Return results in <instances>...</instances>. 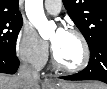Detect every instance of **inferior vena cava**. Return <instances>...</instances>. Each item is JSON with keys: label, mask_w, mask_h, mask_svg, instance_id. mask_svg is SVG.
Here are the masks:
<instances>
[{"label": "inferior vena cava", "mask_w": 107, "mask_h": 89, "mask_svg": "<svg viewBox=\"0 0 107 89\" xmlns=\"http://www.w3.org/2000/svg\"><path fill=\"white\" fill-rule=\"evenodd\" d=\"M18 77L22 79L23 81L29 82V81H38L39 80V74L37 71L33 70L30 66L27 64H22L19 67L18 71Z\"/></svg>", "instance_id": "inferior-vena-cava-1"}]
</instances>
